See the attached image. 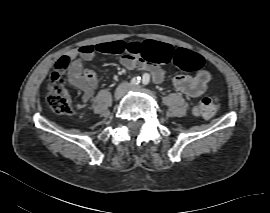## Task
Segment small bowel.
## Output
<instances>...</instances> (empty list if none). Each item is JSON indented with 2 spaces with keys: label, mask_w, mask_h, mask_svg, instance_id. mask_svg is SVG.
<instances>
[{
  "label": "small bowel",
  "mask_w": 270,
  "mask_h": 213,
  "mask_svg": "<svg viewBox=\"0 0 270 213\" xmlns=\"http://www.w3.org/2000/svg\"><path fill=\"white\" fill-rule=\"evenodd\" d=\"M103 45L102 43L85 44L71 50L67 54L66 71L68 82L81 91L83 101L92 98L98 83L96 74L86 69L83 65V61H90L99 55L106 54V52L102 50ZM146 46L149 49V56L159 63L170 62L180 52V50L173 48L169 44L156 41H152ZM181 52L186 53L189 51L181 50ZM120 61L122 65L129 70H135L137 68L148 69L152 74L153 81L156 83H160L164 78V71L157 64H149L129 55L121 57ZM62 64L63 63H59V66H62ZM210 78L209 72L201 70L193 76L175 75L171 81L174 87L179 91L188 96L197 97L206 91Z\"/></svg>",
  "instance_id": "1"
}]
</instances>
